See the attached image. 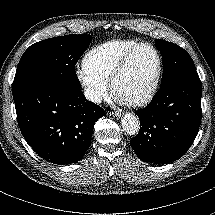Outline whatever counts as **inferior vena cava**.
I'll use <instances>...</instances> for the list:
<instances>
[{"mask_svg":"<svg viewBox=\"0 0 215 215\" xmlns=\"http://www.w3.org/2000/svg\"><path fill=\"white\" fill-rule=\"evenodd\" d=\"M85 98L93 103L99 104L103 101V98L99 92L93 87H88L84 90Z\"/></svg>","mask_w":215,"mask_h":215,"instance_id":"inferior-vena-cava-1","label":"inferior vena cava"}]
</instances>
